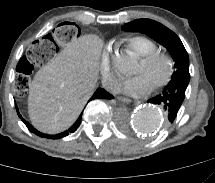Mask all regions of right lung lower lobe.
Wrapping results in <instances>:
<instances>
[{
    "label": "right lung lower lobe",
    "mask_w": 215,
    "mask_h": 183,
    "mask_svg": "<svg viewBox=\"0 0 215 183\" xmlns=\"http://www.w3.org/2000/svg\"><path fill=\"white\" fill-rule=\"evenodd\" d=\"M112 98H113V96L111 94L107 93L102 88H98L95 91V93L93 94V96L90 98V100H92V99H112ZM16 109H17V106H16ZM17 112H18V109H17ZM18 115L20 116L19 112H18ZM81 116H82V114L79 116V118L73 124V126L71 128H69L65 132H62V133L57 134V135L43 134V133L37 131L29 122L25 121L24 119H22V121L25 123V125L28 127V129L31 132H33L36 135H39L40 137L51 138V139H59V138L65 137V136L69 135L70 133H73V132L76 131V129L79 127V125L81 123Z\"/></svg>",
    "instance_id": "right-lung-lower-lobe-1"
}]
</instances>
